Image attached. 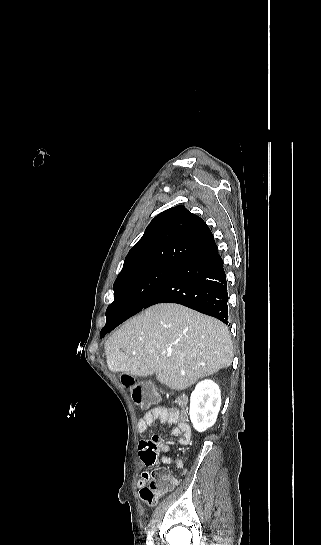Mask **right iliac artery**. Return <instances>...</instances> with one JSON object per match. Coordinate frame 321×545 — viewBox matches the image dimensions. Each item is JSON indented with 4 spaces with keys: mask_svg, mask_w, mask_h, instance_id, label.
Masks as SVG:
<instances>
[{
    "mask_svg": "<svg viewBox=\"0 0 321 545\" xmlns=\"http://www.w3.org/2000/svg\"><path fill=\"white\" fill-rule=\"evenodd\" d=\"M147 545H153L152 537H151L150 533H148V535H147Z\"/></svg>",
    "mask_w": 321,
    "mask_h": 545,
    "instance_id": "right-iliac-artery-1",
    "label": "right iliac artery"
}]
</instances>
